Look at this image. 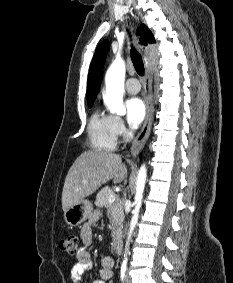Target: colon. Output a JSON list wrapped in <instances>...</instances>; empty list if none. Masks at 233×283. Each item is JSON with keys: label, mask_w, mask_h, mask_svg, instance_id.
Returning <instances> with one entry per match:
<instances>
[{"label": "colon", "mask_w": 233, "mask_h": 283, "mask_svg": "<svg viewBox=\"0 0 233 283\" xmlns=\"http://www.w3.org/2000/svg\"><path fill=\"white\" fill-rule=\"evenodd\" d=\"M78 245L79 240L75 234H69L59 241V248L69 254H76L78 252Z\"/></svg>", "instance_id": "obj_1"}]
</instances>
